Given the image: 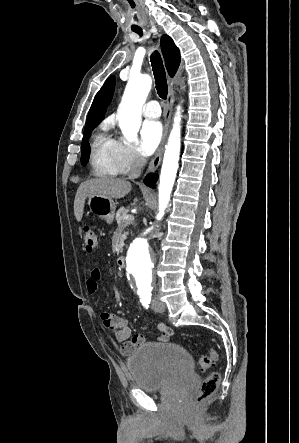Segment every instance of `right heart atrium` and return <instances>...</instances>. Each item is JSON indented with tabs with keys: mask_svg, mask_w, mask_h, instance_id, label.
I'll return each instance as SVG.
<instances>
[{
	"mask_svg": "<svg viewBox=\"0 0 299 443\" xmlns=\"http://www.w3.org/2000/svg\"><path fill=\"white\" fill-rule=\"evenodd\" d=\"M116 141V159L121 173H128L142 167L144 157L136 146L125 140Z\"/></svg>",
	"mask_w": 299,
	"mask_h": 443,
	"instance_id": "right-heart-atrium-1",
	"label": "right heart atrium"
}]
</instances>
